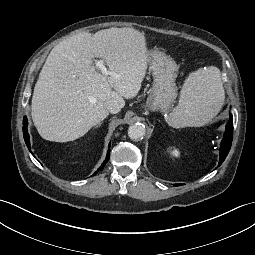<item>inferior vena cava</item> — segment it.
Wrapping results in <instances>:
<instances>
[{"mask_svg":"<svg viewBox=\"0 0 255 255\" xmlns=\"http://www.w3.org/2000/svg\"><path fill=\"white\" fill-rule=\"evenodd\" d=\"M105 106L107 110L112 114H116L121 110L120 104L114 99L107 100L105 102Z\"/></svg>","mask_w":255,"mask_h":255,"instance_id":"obj_1","label":"inferior vena cava"}]
</instances>
